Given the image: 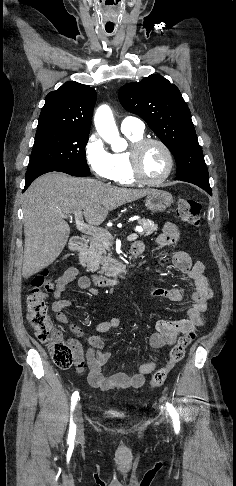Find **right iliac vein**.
Instances as JSON below:
<instances>
[{"label":"right iliac vein","instance_id":"1","mask_svg":"<svg viewBox=\"0 0 236 486\" xmlns=\"http://www.w3.org/2000/svg\"><path fill=\"white\" fill-rule=\"evenodd\" d=\"M75 422H76V432L77 437L80 438L83 435L84 426H83V417L81 414V405L78 404L75 410Z\"/></svg>","mask_w":236,"mask_h":486}]
</instances>
